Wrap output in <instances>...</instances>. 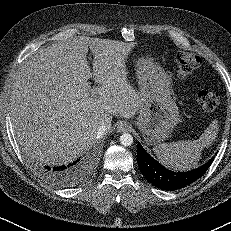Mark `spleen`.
Masks as SVG:
<instances>
[{
    "mask_svg": "<svg viewBox=\"0 0 231 231\" xmlns=\"http://www.w3.org/2000/svg\"><path fill=\"white\" fill-rule=\"evenodd\" d=\"M219 129L218 120H214L197 140H180L163 143L153 148L160 163L175 171H188L195 168L201 159L202 149L216 139Z\"/></svg>",
    "mask_w": 231,
    "mask_h": 231,
    "instance_id": "spleen-1",
    "label": "spleen"
}]
</instances>
